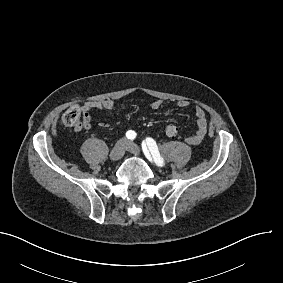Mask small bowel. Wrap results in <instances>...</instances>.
<instances>
[{
	"instance_id": "c3829d8e",
	"label": "small bowel",
	"mask_w": 283,
	"mask_h": 283,
	"mask_svg": "<svg viewBox=\"0 0 283 283\" xmlns=\"http://www.w3.org/2000/svg\"><path fill=\"white\" fill-rule=\"evenodd\" d=\"M163 106V102L159 99L153 100L150 107L153 110H159ZM178 106L181 108H186L189 103L185 100L178 102ZM115 108V102L111 99H102L87 101L82 104L81 110L83 113V123L82 126L85 130L91 128V122L93 123H104L108 120V113L106 111ZM101 110V111H98ZM196 131L185 138V142L188 145L196 146L199 145L207 134L208 121L206 118L205 110L201 106H196L194 110Z\"/></svg>"
}]
</instances>
